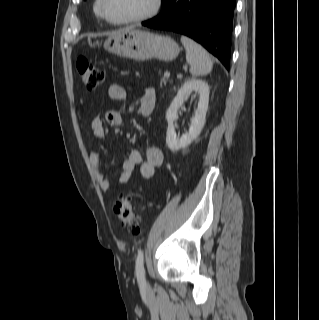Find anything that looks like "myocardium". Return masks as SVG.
Segmentation results:
<instances>
[{"mask_svg": "<svg viewBox=\"0 0 319 320\" xmlns=\"http://www.w3.org/2000/svg\"><path fill=\"white\" fill-rule=\"evenodd\" d=\"M105 2H106V0H99V10H100L101 17L103 19H105L110 24L125 25V24L143 22V21H146V20H149V19L155 17L160 12V10L162 8L163 0H154L152 9L146 13H144L142 15L134 16L131 18L123 19V20L111 19L106 12Z\"/></svg>", "mask_w": 319, "mask_h": 320, "instance_id": "myocardium-1", "label": "myocardium"}]
</instances>
